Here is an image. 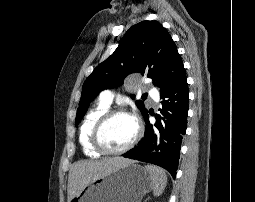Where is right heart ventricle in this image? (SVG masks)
I'll return each mask as SVG.
<instances>
[{"label":"right heart ventricle","instance_id":"right-heart-ventricle-1","mask_svg":"<svg viewBox=\"0 0 255 202\" xmlns=\"http://www.w3.org/2000/svg\"><path fill=\"white\" fill-rule=\"evenodd\" d=\"M109 109V104L99 101L86 114L79 131V141L83 152L89 157H99L101 153L97 151L91 143V133L96 121Z\"/></svg>","mask_w":255,"mask_h":202}]
</instances>
